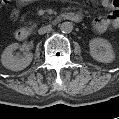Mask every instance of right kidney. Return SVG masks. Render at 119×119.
<instances>
[{
  "mask_svg": "<svg viewBox=\"0 0 119 119\" xmlns=\"http://www.w3.org/2000/svg\"><path fill=\"white\" fill-rule=\"evenodd\" d=\"M18 43L10 44L1 56V62L4 67L12 71H20L26 68L33 59V54L24 52V56L13 55V52L18 49Z\"/></svg>",
  "mask_w": 119,
  "mask_h": 119,
  "instance_id": "right-kidney-1",
  "label": "right kidney"
}]
</instances>
